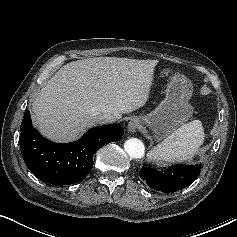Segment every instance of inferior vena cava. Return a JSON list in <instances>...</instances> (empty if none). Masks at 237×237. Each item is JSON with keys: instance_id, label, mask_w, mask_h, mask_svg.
I'll list each match as a JSON object with an SVG mask.
<instances>
[{"instance_id": "602c4592", "label": "inferior vena cava", "mask_w": 237, "mask_h": 237, "mask_svg": "<svg viewBox=\"0 0 237 237\" xmlns=\"http://www.w3.org/2000/svg\"><path fill=\"white\" fill-rule=\"evenodd\" d=\"M98 123H110L118 120V117L111 113H98L94 116Z\"/></svg>"}]
</instances>
